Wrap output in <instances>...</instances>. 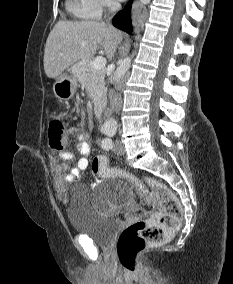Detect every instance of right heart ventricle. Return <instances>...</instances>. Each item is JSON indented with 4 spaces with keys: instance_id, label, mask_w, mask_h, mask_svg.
<instances>
[{
    "instance_id": "right-heart-ventricle-1",
    "label": "right heart ventricle",
    "mask_w": 233,
    "mask_h": 284,
    "mask_svg": "<svg viewBox=\"0 0 233 284\" xmlns=\"http://www.w3.org/2000/svg\"><path fill=\"white\" fill-rule=\"evenodd\" d=\"M67 9L81 20H98L102 14L99 0H68Z\"/></svg>"
}]
</instances>
